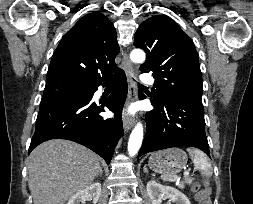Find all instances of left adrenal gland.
I'll return each mask as SVG.
<instances>
[{
  "label": "left adrenal gland",
  "instance_id": "1",
  "mask_svg": "<svg viewBox=\"0 0 253 204\" xmlns=\"http://www.w3.org/2000/svg\"><path fill=\"white\" fill-rule=\"evenodd\" d=\"M143 171H144V173H148V170H147V168H146V165L143 167Z\"/></svg>",
  "mask_w": 253,
  "mask_h": 204
}]
</instances>
